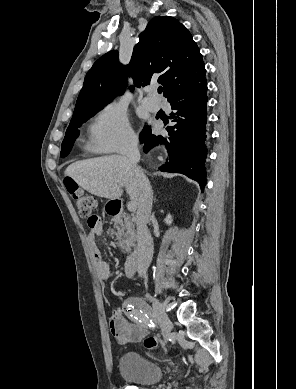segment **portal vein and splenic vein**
I'll return each instance as SVG.
<instances>
[{
    "label": "portal vein and splenic vein",
    "mask_w": 296,
    "mask_h": 389,
    "mask_svg": "<svg viewBox=\"0 0 296 389\" xmlns=\"http://www.w3.org/2000/svg\"><path fill=\"white\" fill-rule=\"evenodd\" d=\"M136 208H137V203H136V202H134V201L128 202V204H127V209H128L129 211H135Z\"/></svg>",
    "instance_id": "1"
}]
</instances>
